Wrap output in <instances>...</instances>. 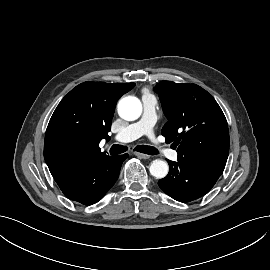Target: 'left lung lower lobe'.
<instances>
[{
    "instance_id": "1",
    "label": "left lung lower lobe",
    "mask_w": 270,
    "mask_h": 270,
    "mask_svg": "<svg viewBox=\"0 0 270 270\" xmlns=\"http://www.w3.org/2000/svg\"><path fill=\"white\" fill-rule=\"evenodd\" d=\"M169 163L168 175L159 180V187L180 202H190L205 195L214 186L223 170L212 165L178 157Z\"/></svg>"
}]
</instances>
